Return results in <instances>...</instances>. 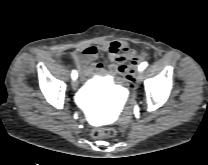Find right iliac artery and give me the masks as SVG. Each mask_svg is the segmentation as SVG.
Masks as SVG:
<instances>
[{
  "label": "right iliac artery",
  "instance_id": "obj_1",
  "mask_svg": "<svg viewBox=\"0 0 208 165\" xmlns=\"http://www.w3.org/2000/svg\"><path fill=\"white\" fill-rule=\"evenodd\" d=\"M77 76H78L77 72L75 70H73L72 71V79L73 80L77 79Z\"/></svg>",
  "mask_w": 208,
  "mask_h": 165
}]
</instances>
